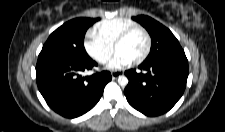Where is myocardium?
<instances>
[{"mask_svg":"<svg viewBox=\"0 0 225 132\" xmlns=\"http://www.w3.org/2000/svg\"><path fill=\"white\" fill-rule=\"evenodd\" d=\"M136 31H140L144 34L145 38H146V48L145 51L143 52V54L137 58L136 60H133L132 63L133 64H140L143 61L146 60V58L149 56L150 51H151V47H152V39L151 36L149 34V32L142 26L136 25V26H132L128 29H126L125 31H123L118 38L116 39L115 43H114V50L117 51V48L128 39V37L133 34Z\"/></svg>","mask_w":225,"mask_h":132,"instance_id":"myocardium-1","label":"myocardium"}]
</instances>
